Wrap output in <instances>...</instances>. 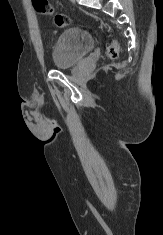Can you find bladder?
<instances>
[{
    "label": "bladder",
    "mask_w": 163,
    "mask_h": 235,
    "mask_svg": "<svg viewBox=\"0 0 163 235\" xmlns=\"http://www.w3.org/2000/svg\"><path fill=\"white\" fill-rule=\"evenodd\" d=\"M94 36L79 27L64 30L54 44L52 62L56 69L78 65L94 48Z\"/></svg>",
    "instance_id": "bladder-1"
}]
</instances>
